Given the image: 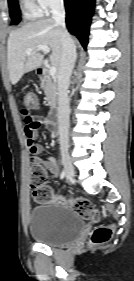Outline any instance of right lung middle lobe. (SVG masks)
Instances as JSON below:
<instances>
[{
	"label": "right lung middle lobe",
	"mask_w": 134,
	"mask_h": 281,
	"mask_svg": "<svg viewBox=\"0 0 134 281\" xmlns=\"http://www.w3.org/2000/svg\"><path fill=\"white\" fill-rule=\"evenodd\" d=\"M8 3L12 24L16 25L20 22V9L17 0H8Z\"/></svg>",
	"instance_id": "1"
}]
</instances>
